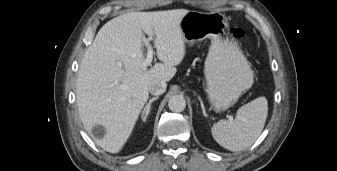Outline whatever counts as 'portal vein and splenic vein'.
Masks as SVG:
<instances>
[{
	"label": "portal vein and splenic vein",
	"mask_w": 337,
	"mask_h": 171,
	"mask_svg": "<svg viewBox=\"0 0 337 171\" xmlns=\"http://www.w3.org/2000/svg\"><path fill=\"white\" fill-rule=\"evenodd\" d=\"M149 41H150V38L149 39L143 38V42L147 47V57L142 63L143 69H146L147 66L151 64L152 59H153L154 51Z\"/></svg>",
	"instance_id": "1"
}]
</instances>
